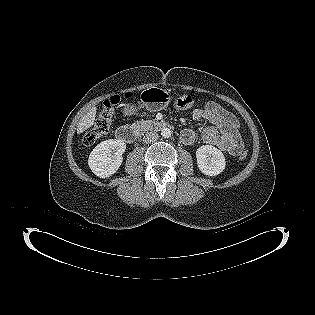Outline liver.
I'll use <instances>...</instances> for the list:
<instances>
[{"label":"liver","instance_id":"1","mask_svg":"<svg viewBox=\"0 0 315 315\" xmlns=\"http://www.w3.org/2000/svg\"><path fill=\"white\" fill-rule=\"evenodd\" d=\"M97 108H91L87 114L80 120L77 128L78 133H82L83 131L87 130L88 128L92 127L95 121Z\"/></svg>","mask_w":315,"mask_h":315}]
</instances>
